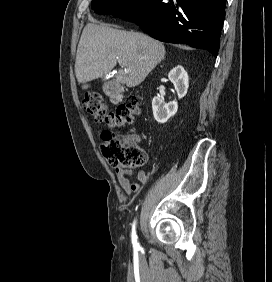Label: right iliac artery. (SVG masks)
Wrapping results in <instances>:
<instances>
[{
    "label": "right iliac artery",
    "instance_id": "82829eb1",
    "mask_svg": "<svg viewBox=\"0 0 272 282\" xmlns=\"http://www.w3.org/2000/svg\"><path fill=\"white\" fill-rule=\"evenodd\" d=\"M131 239H132L133 247L139 248V243L137 242V235H136V231H135V222L133 223V227H132Z\"/></svg>",
    "mask_w": 272,
    "mask_h": 282
}]
</instances>
